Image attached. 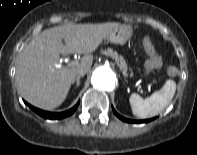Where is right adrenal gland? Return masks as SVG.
<instances>
[{
	"instance_id": "right-adrenal-gland-1",
	"label": "right adrenal gland",
	"mask_w": 197,
	"mask_h": 155,
	"mask_svg": "<svg viewBox=\"0 0 197 155\" xmlns=\"http://www.w3.org/2000/svg\"><path fill=\"white\" fill-rule=\"evenodd\" d=\"M82 76H77L76 78H75V80L72 82V84H74L75 82H76V87L78 88L79 87V85H80V78H81Z\"/></svg>"
}]
</instances>
